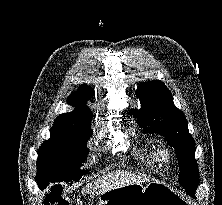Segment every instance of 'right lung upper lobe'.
<instances>
[{
	"mask_svg": "<svg viewBox=\"0 0 222 205\" xmlns=\"http://www.w3.org/2000/svg\"><path fill=\"white\" fill-rule=\"evenodd\" d=\"M94 95V91L86 84L81 85L79 89L73 92L67 99L68 103L75 107L73 112L59 115L55 123L58 124H74L91 122L92 112L86 106L87 99Z\"/></svg>",
	"mask_w": 222,
	"mask_h": 205,
	"instance_id": "1",
	"label": "right lung upper lobe"
}]
</instances>
